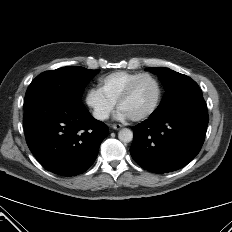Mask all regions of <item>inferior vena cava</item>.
<instances>
[{
	"label": "inferior vena cava",
	"instance_id": "obj_1",
	"mask_svg": "<svg viewBox=\"0 0 232 232\" xmlns=\"http://www.w3.org/2000/svg\"><path fill=\"white\" fill-rule=\"evenodd\" d=\"M93 116L98 120H105L109 117V114L106 111L94 110Z\"/></svg>",
	"mask_w": 232,
	"mask_h": 232
}]
</instances>
